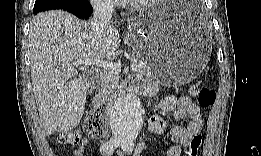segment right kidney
Returning a JSON list of instances; mask_svg holds the SVG:
<instances>
[{
	"label": "right kidney",
	"instance_id": "right-kidney-1",
	"mask_svg": "<svg viewBox=\"0 0 261 156\" xmlns=\"http://www.w3.org/2000/svg\"><path fill=\"white\" fill-rule=\"evenodd\" d=\"M72 85L74 86V85H75V82H71V87H72Z\"/></svg>",
	"mask_w": 261,
	"mask_h": 156
}]
</instances>
